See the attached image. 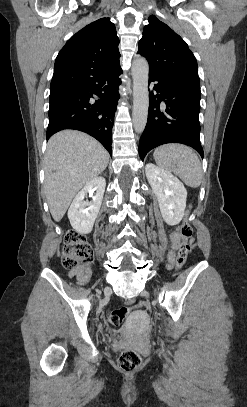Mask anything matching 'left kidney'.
<instances>
[{"instance_id":"1","label":"left kidney","mask_w":247,"mask_h":407,"mask_svg":"<svg viewBox=\"0 0 247 407\" xmlns=\"http://www.w3.org/2000/svg\"><path fill=\"white\" fill-rule=\"evenodd\" d=\"M145 172L164 221L170 226L179 224L186 208V188L177 177L153 163L146 164Z\"/></svg>"}]
</instances>
